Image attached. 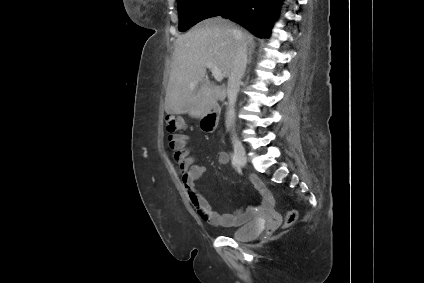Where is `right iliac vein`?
<instances>
[{
	"instance_id": "63e3f726",
	"label": "right iliac vein",
	"mask_w": 424,
	"mask_h": 283,
	"mask_svg": "<svg viewBox=\"0 0 424 283\" xmlns=\"http://www.w3.org/2000/svg\"><path fill=\"white\" fill-rule=\"evenodd\" d=\"M232 142H233L234 152H235V156L237 158L238 164L240 166H244L247 162L245 149L242 143L237 138H233Z\"/></svg>"
}]
</instances>
